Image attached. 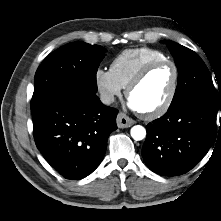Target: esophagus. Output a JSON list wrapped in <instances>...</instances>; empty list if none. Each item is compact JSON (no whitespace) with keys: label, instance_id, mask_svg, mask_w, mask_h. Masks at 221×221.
<instances>
[{"label":"esophagus","instance_id":"esophagus-1","mask_svg":"<svg viewBox=\"0 0 221 221\" xmlns=\"http://www.w3.org/2000/svg\"><path fill=\"white\" fill-rule=\"evenodd\" d=\"M116 120H117V126L119 128H128L135 123L133 119H131L122 112L118 113Z\"/></svg>","mask_w":221,"mask_h":221}]
</instances>
